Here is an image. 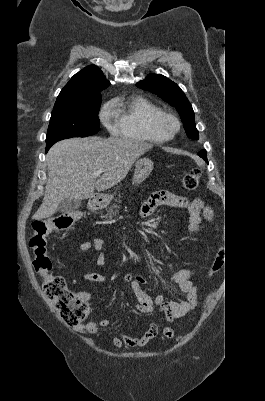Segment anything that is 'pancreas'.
Segmentation results:
<instances>
[{
  "instance_id": "cf45deb5",
  "label": "pancreas",
  "mask_w": 265,
  "mask_h": 401,
  "mask_svg": "<svg viewBox=\"0 0 265 401\" xmlns=\"http://www.w3.org/2000/svg\"><path fill=\"white\" fill-rule=\"evenodd\" d=\"M120 198H121V196H120V194H118V198H114L115 203H112L111 207H107L106 217H108V219H112V217H116V215L118 213V209H120V205H119V203H121Z\"/></svg>"
}]
</instances>
